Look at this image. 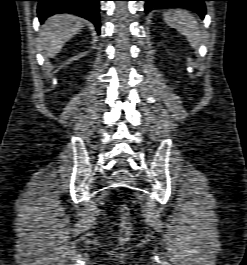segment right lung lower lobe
<instances>
[{
    "label": "right lung lower lobe",
    "instance_id": "obj_1",
    "mask_svg": "<svg viewBox=\"0 0 247 265\" xmlns=\"http://www.w3.org/2000/svg\"><path fill=\"white\" fill-rule=\"evenodd\" d=\"M39 21L58 12H71L91 22L100 33L99 1L101 0H36Z\"/></svg>",
    "mask_w": 247,
    "mask_h": 265
}]
</instances>
